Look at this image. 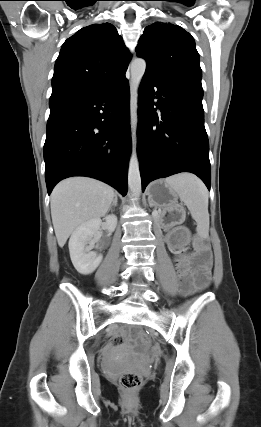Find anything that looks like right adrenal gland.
Segmentation results:
<instances>
[{
  "mask_svg": "<svg viewBox=\"0 0 261 427\" xmlns=\"http://www.w3.org/2000/svg\"><path fill=\"white\" fill-rule=\"evenodd\" d=\"M117 206V196L114 197L111 206L109 207V211L112 210L113 207Z\"/></svg>",
  "mask_w": 261,
  "mask_h": 427,
  "instance_id": "obj_1",
  "label": "right adrenal gland"
}]
</instances>
